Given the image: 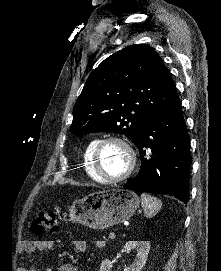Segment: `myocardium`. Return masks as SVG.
I'll list each match as a JSON object with an SVG mask.
<instances>
[{
	"mask_svg": "<svg viewBox=\"0 0 221 271\" xmlns=\"http://www.w3.org/2000/svg\"><path fill=\"white\" fill-rule=\"evenodd\" d=\"M97 140L95 145H90L93 147L91 160L93 161L94 167V174L98 172L99 177H105V172H103V166L99 160L100 158V150H105V147H109V145H115L118 150H124L123 160L122 163L127 165V170L118 176L103 178V183L101 184H115V183H124V178H128L133 170H135V166L137 165V158H133V153H136V150H130V145L125 140H129L126 136L118 134V133H111L106 134V137L95 138Z\"/></svg>",
	"mask_w": 221,
	"mask_h": 271,
	"instance_id": "f54148a6",
	"label": "myocardium"
}]
</instances>
